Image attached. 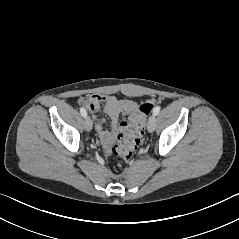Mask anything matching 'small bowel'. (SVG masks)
Wrapping results in <instances>:
<instances>
[{
	"instance_id": "small-bowel-1",
	"label": "small bowel",
	"mask_w": 239,
	"mask_h": 239,
	"mask_svg": "<svg viewBox=\"0 0 239 239\" xmlns=\"http://www.w3.org/2000/svg\"><path fill=\"white\" fill-rule=\"evenodd\" d=\"M101 103H104V109L111 119V129L106 130L100 120H96L95 129L104 145L108 150L110 144L115 140L121 131L120 117H127L138 111L139 106L131 100H121L113 95L93 94L87 99V108L91 113H95Z\"/></svg>"
}]
</instances>
